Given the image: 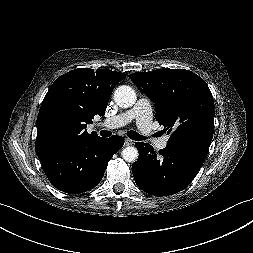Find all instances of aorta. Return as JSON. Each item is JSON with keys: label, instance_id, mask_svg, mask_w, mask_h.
<instances>
[{"label": "aorta", "instance_id": "aorta-1", "mask_svg": "<svg viewBox=\"0 0 253 253\" xmlns=\"http://www.w3.org/2000/svg\"><path fill=\"white\" fill-rule=\"evenodd\" d=\"M136 93L133 88L127 85L119 86L114 92V100L120 107L128 108L136 102ZM122 158L127 162H135L138 159V150L128 146L122 150Z\"/></svg>", "mask_w": 253, "mask_h": 253}]
</instances>
